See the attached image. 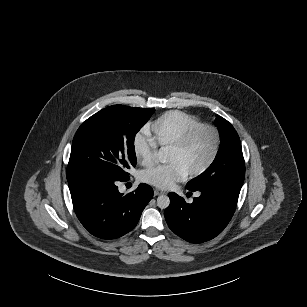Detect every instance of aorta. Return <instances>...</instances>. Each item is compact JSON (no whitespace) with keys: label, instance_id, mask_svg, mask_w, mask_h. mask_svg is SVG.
I'll list each match as a JSON object with an SVG mask.
<instances>
[{"label":"aorta","instance_id":"762f6f07","mask_svg":"<svg viewBox=\"0 0 307 307\" xmlns=\"http://www.w3.org/2000/svg\"><path fill=\"white\" fill-rule=\"evenodd\" d=\"M170 204V199L167 195H160L158 198H157V205L158 207L162 208V209H165L169 206Z\"/></svg>","mask_w":307,"mask_h":307}]
</instances>
